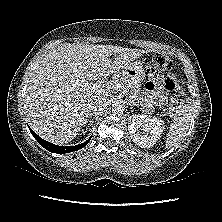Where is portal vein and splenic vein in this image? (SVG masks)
I'll return each instance as SVG.
<instances>
[{
    "label": "portal vein and splenic vein",
    "mask_w": 222,
    "mask_h": 222,
    "mask_svg": "<svg viewBox=\"0 0 222 222\" xmlns=\"http://www.w3.org/2000/svg\"><path fill=\"white\" fill-rule=\"evenodd\" d=\"M81 87L84 88H92L94 90L101 89L104 91L114 92V91H124V88H121L119 85H106L102 81H98L97 83H89V82H83L80 84Z\"/></svg>",
    "instance_id": "portal-vein-and-splenic-vein-1"
}]
</instances>
